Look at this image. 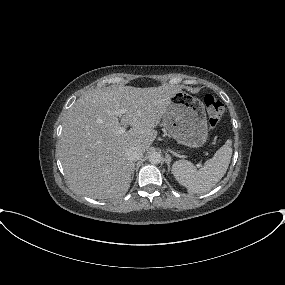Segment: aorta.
Listing matches in <instances>:
<instances>
[{
	"label": "aorta",
	"mask_w": 285,
	"mask_h": 285,
	"mask_svg": "<svg viewBox=\"0 0 285 285\" xmlns=\"http://www.w3.org/2000/svg\"><path fill=\"white\" fill-rule=\"evenodd\" d=\"M149 162L151 164H159L162 160V156L159 152H151L148 156Z\"/></svg>",
	"instance_id": "obj_1"
}]
</instances>
